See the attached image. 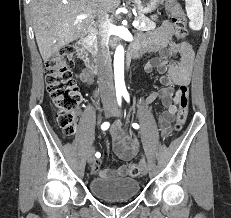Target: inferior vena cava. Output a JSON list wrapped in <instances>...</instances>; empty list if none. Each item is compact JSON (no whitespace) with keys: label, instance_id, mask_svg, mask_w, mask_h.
<instances>
[{"label":"inferior vena cava","instance_id":"inferior-vena-cava-1","mask_svg":"<svg viewBox=\"0 0 231 218\" xmlns=\"http://www.w3.org/2000/svg\"><path fill=\"white\" fill-rule=\"evenodd\" d=\"M99 51L97 56L98 82L101 97L103 99H114V85L112 76L111 56L109 50V26L110 20L107 14L99 18Z\"/></svg>","mask_w":231,"mask_h":218}]
</instances>
